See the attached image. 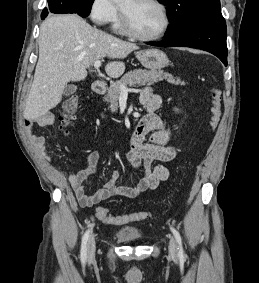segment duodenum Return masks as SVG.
<instances>
[{"instance_id":"duodenum-1","label":"duodenum","mask_w":259,"mask_h":283,"mask_svg":"<svg viewBox=\"0 0 259 283\" xmlns=\"http://www.w3.org/2000/svg\"><path fill=\"white\" fill-rule=\"evenodd\" d=\"M94 93L98 95L105 94L106 92V84L102 81H95L92 85ZM144 122V118H142L136 125V129Z\"/></svg>"}]
</instances>
